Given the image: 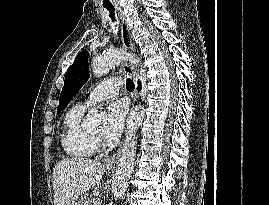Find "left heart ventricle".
Masks as SVG:
<instances>
[{
	"instance_id": "b2bd125f",
	"label": "left heart ventricle",
	"mask_w": 269,
	"mask_h": 205,
	"mask_svg": "<svg viewBox=\"0 0 269 205\" xmlns=\"http://www.w3.org/2000/svg\"><path fill=\"white\" fill-rule=\"evenodd\" d=\"M95 135H99L100 134V130L99 131H96L94 132Z\"/></svg>"
}]
</instances>
